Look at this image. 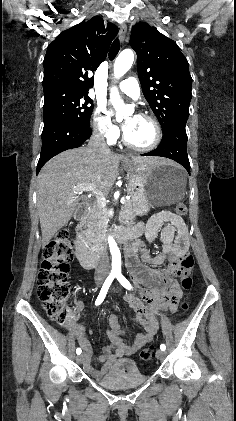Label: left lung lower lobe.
I'll return each mask as SVG.
<instances>
[{"label": "left lung lower lobe", "mask_w": 236, "mask_h": 421, "mask_svg": "<svg viewBox=\"0 0 236 421\" xmlns=\"http://www.w3.org/2000/svg\"><path fill=\"white\" fill-rule=\"evenodd\" d=\"M184 119L175 120L163 131L160 145L153 151L145 153V156H161L170 158L180 163L190 174V163L187 154V134Z\"/></svg>", "instance_id": "left-lung-lower-lobe-1"}]
</instances>
